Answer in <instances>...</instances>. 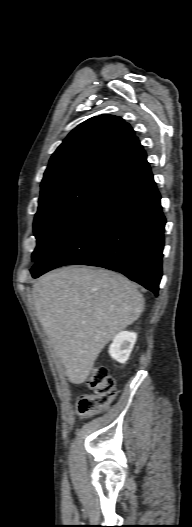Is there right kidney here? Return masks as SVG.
Wrapping results in <instances>:
<instances>
[{"label":"right kidney","mask_w":192,"mask_h":527,"mask_svg":"<svg viewBox=\"0 0 192 527\" xmlns=\"http://www.w3.org/2000/svg\"><path fill=\"white\" fill-rule=\"evenodd\" d=\"M137 333L123 331L117 334L109 347L110 356L120 363H125L134 347Z\"/></svg>","instance_id":"right-kidney-1"}]
</instances>
